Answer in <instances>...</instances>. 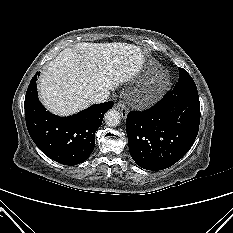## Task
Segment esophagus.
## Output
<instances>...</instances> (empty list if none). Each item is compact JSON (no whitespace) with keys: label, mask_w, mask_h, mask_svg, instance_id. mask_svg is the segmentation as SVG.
<instances>
[{"label":"esophagus","mask_w":233,"mask_h":233,"mask_svg":"<svg viewBox=\"0 0 233 233\" xmlns=\"http://www.w3.org/2000/svg\"><path fill=\"white\" fill-rule=\"evenodd\" d=\"M115 108L120 112L121 116L123 118H126L127 117V114H128V110L126 108V106L124 105L123 101H119Z\"/></svg>","instance_id":"34e87169"}]
</instances>
